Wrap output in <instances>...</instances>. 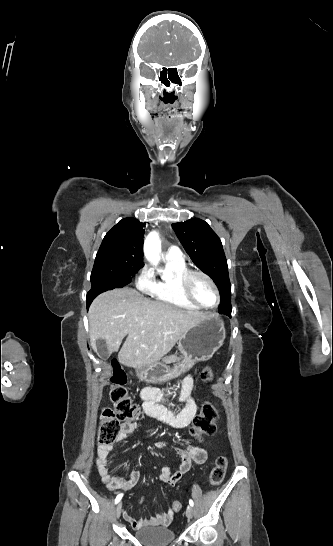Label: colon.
Returning <instances> with one entry per match:
<instances>
[{"instance_id": "colon-1", "label": "colon", "mask_w": 333, "mask_h": 546, "mask_svg": "<svg viewBox=\"0 0 333 546\" xmlns=\"http://www.w3.org/2000/svg\"><path fill=\"white\" fill-rule=\"evenodd\" d=\"M200 377L204 382L212 380V369L210 367L203 368ZM126 379V373L120 364L118 362H113L111 376L112 387L110 391L113 407H107L102 411L98 431L99 444H112L119 436L122 423L135 422L143 417L141 409L129 395L125 386ZM217 418L218 412L215 406L210 402H205L202 405L200 412L193 419L190 434L199 442H201L205 436L213 435L216 430ZM227 466L228 461L225 456H220L216 459L214 467L209 475V484L211 486L221 484L225 477ZM181 508L182 503L180 501L176 500L172 503V510L174 512L180 511Z\"/></svg>"}]
</instances>
